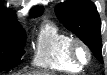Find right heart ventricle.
Masks as SVG:
<instances>
[{"label": "right heart ventricle", "instance_id": "e07e8e85", "mask_svg": "<svg viewBox=\"0 0 107 75\" xmlns=\"http://www.w3.org/2000/svg\"><path fill=\"white\" fill-rule=\"evenodd\" d=\"M73 37L52 22L45 23L38 34L33 58L35 66L45 69L79 72L81 66L70 57Z\"/></svg>", "mask_w": 107, "mask_h": 75}]
</instances>
